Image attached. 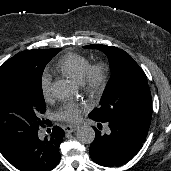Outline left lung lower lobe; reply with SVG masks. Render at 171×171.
<instances>
[{
  "instance_id": "left-lung-lower-lobe-1",
  "label": "left lung lower lobe",
  "mask_w": 171,
  "mask_h": 171,
  "mask_svg": "<svg viewBox=\"0 0 171 171\" xmlns=\"http://www.w3.org/2000/svg\"><path fill=\"white\" fill-rule=\"evenodd\" d=\"M106 122L111 132L101 134L95 130V139L89 153L92 160L105 167H115L130 161L146 140L150 125L125 119H111ZM101 125V124H99Z\"/></svg>"
}]
</instances>
